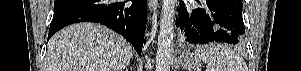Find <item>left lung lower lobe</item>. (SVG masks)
Instances as JSON below:
<instances>
[{
	"label": "left lung lower lobe",
	"mask_w": 301,
	"mask_h": 71,
	"mask_svg": "<svg viewBox=\"0 0 301 71\" xmlns=\"http://www.w3.org/2000/svg\"><path fill=\"white\" fill-rule=\"evenodd\" d=\"M202 6L189 13L181 0L178 25L187 41L194 44L209 42L242 43L244 23L242 0H196Z\"/></svg>",
	"instance_id": "1"
}]
</instances>
